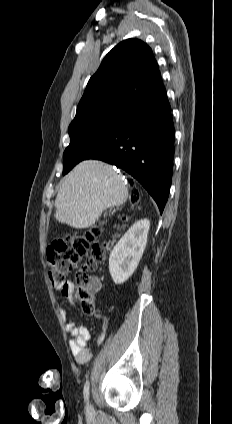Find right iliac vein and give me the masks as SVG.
<instances>
[{"label": "right iliac vein", "mask_w": 232, "mask_h": 424, "mask_svg": "<svg viewBox=\"0 0 232 424\" xmlns=\"http://www.w3.org/2000/svg\"><path fill=\"white\" fill-rule=\"evenodd\" d=\"M92 409H93L92 405L90 403H88V405H87V411L88 412H91Z\"/></svg>", "instance_id": "63e3f726"}]
</instances>
